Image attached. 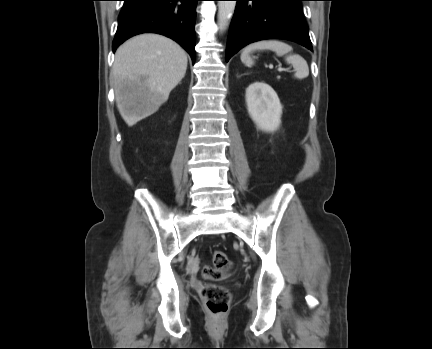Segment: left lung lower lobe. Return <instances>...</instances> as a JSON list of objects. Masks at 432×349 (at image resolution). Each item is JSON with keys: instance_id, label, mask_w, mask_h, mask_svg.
<instances>
[{"instance_id": "obj_1", "label": "left lung lower lobe", "mask_w": 432, "mask_h": 349, "mask_svg": "<svg viewBox=\"0 0 432 349\" xmlns=\"http://www.w3.org/2000/svg\"><path fill=\"white\" fill-rule=\"evenodd\" d=\"M235 1L237 5L229 29L226 61L247 44L263 39H286L312 50L301 6L304 0Z\"/></svg>"}]
</instances>
